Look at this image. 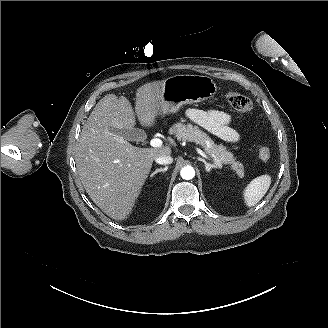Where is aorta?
<instances>
[{"instance_id": "obj_1", "label": "aorta", "mask_w": 328, "mask_h": 328, "mask_svg": "<svg viewBox=\"0 0 328 328\" xmlns=\"http://www.w3.org/2000/svg\"><path fill=\"white\" fill-rule=\"evenodd\" d=\"M180 175L185 180H190L195 176V170L191 166H185L181 169Z\"/></svg>"}]
</instances>
